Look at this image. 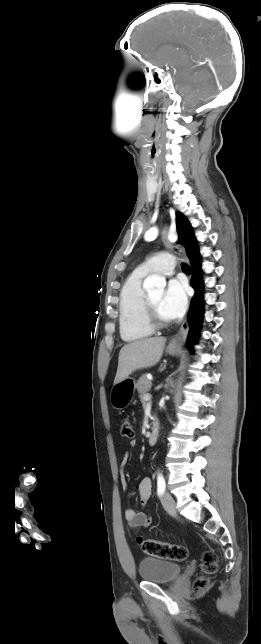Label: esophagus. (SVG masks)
<instances>
[{"label":"esophagus","mask_w":261,"mask_h":644,"mask_svg":"<svg viewBox=\"0 0 261 644\" xmlns=\"http://www.w3.org/2000/svg\"><path fill=\"white\" fill-rule=\"evenodd\" d=\"M167 233H168V228L165 227L163 232H162V238H163L164 243L169 246V242L167 240ZM175 252L178 255L185 257L184 251L182 249L176 247ZM188 330H189V324H188V321L185 319L183 321L179 331L171 339L170 344L173 345V346L183 344V342L186 340Z\"/></svg>","instance_id":"34e87169"}]
</instances>
